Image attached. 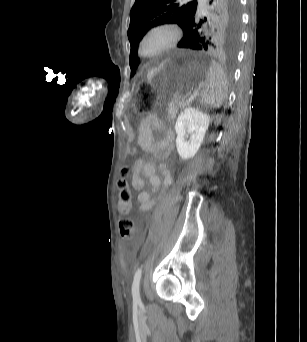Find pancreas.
Listing matches in <instances>:
<instances>
[{
  "instance_id": "obj_1",
  "label": "pancreas",
  "mask_w": 307,
  "mask_h": 342,
  "mask_svg": "<svg viewBox=\"0 0 307 342\" xmlns=\"http://www.w3.org/2000/svg\"><path fill=\"white\" fill-rule=\"evenodd\" d=\"M174 103H170L167 107V110L165 112L166 117H175L176 110L178 109V103L180 102V99L178 97H175L173 99Z\"/></svg>"
}]
</instances>
